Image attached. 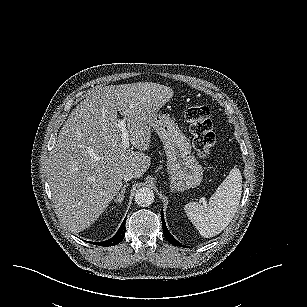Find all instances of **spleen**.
Wrapping results in <instances>:
<instances>
[{"label": "spleen", "instance_id": "obj_1", "mask_svg": "<svg viewBox=\"0 0 307 307\" xmlns=\"http://www.w3.org/2000/svg\"><path fill=\"white\" fill-rule=\"evenodd\" d=\"M241 193L242 175L240 169L234 167L210 197L208 204L189 202L184 210L202 237H214L220 234L234 218Z\"/></svg>", "mask_w": 307, "mask_h": 307}]
</instances>
